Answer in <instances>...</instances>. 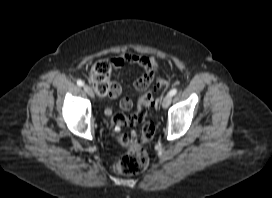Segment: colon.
Here are the masks:
<instances>
[{
  "instance_id": "colon-1",
  "label": "colon",
  "mask_w": 272,
  "mask_h": 198,
  "mask_svg": "<svg viewBox=\"0 0 272 198\" xmlns=\"http://www.w3.org/2000/svg\"><path fill=\"white\" fill-rule=\"evenodd\" d=\"M112 65L108 60L96 62L89 72V82L95 91L103 96L112 93L113 82L110 80ZM153 82L150 77L140 79L136 82L139 89H147ZM168 87L164 80H156L155 89L162 91ZM153 104L151 93L143 95L137 104L134 112L129 115L117 113L112 117L111 129L117 135L126 153L119 157L114 163V170L122 175H135L143 171L149 162L148 154L143 148L145 142L150 141L155 133V124L148 118V113ZM142 125L141 134L138 136H128L118 134L123 126Z\"/></svg>"
}]
</instances>
